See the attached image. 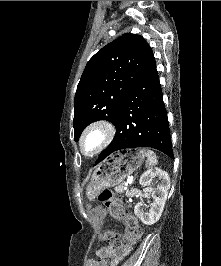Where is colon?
<instances>
[{
  "label": "colon",
  "instance_id": "obj_1",
  "mask_svg": "<svg viewBox=\"0 0 221 266\" xmlns=\"http://www.w3.org/2000/svg\"><path fill=\"white\" fill-rule=\"evenodd\" d=\"M99 201L108 209L110 216L115 220H120L125 225V233L107 231L102 239L111 245H122L126 242L135 243L143 234L137 219L123 210L122 203L111 190L105 189L99 195Z\"/></svg>",
  "mask_w": 221,
  "mask_h": 266
}]
</instances>
